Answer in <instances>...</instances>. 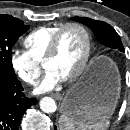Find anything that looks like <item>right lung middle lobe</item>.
Wrapping results in <instances>:
<instances>
[{"instance_id": "dd1d6c3e", "label": "right lung middle lobe", "mask_w": 130, "mask_h": 130, "mask_svg": "<svg viewBox=\"0 0 130 130\" xmlns=\"http://www.w3.org/2000/svg\"><path fill=\"white\" fill-rule=\"evenodd\" d=\"M29 29L24 22L10 15H0V68L9 73L15 74L11 49L18 38Z\"/></svg>"}]
</instances>
